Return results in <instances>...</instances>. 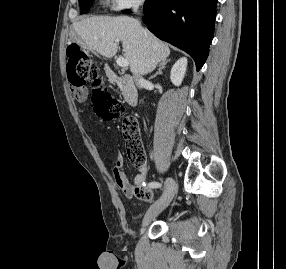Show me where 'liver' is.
Masks as SVG:
<instances>
[{
  "instance_id": "obj_1",
  "label": "liver",
  "mask_w": 286,
  "mask_h": 269,
  "mask_svg": "<svg viewBox=\"0 0 286 269\" xmlns=\"http://www.w3.org/2000/svg\"><path fill=\"white\" fill-rule=\"evenodd\" d=\"M73 28L90 50L111 58L123 45V56L130 71L141 76L152 72L170 54L167 44L155 37L133 18L95 16L75 22Z\"/></svg>"
}]
</instances>
